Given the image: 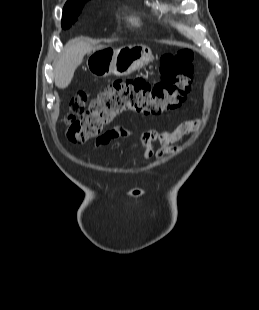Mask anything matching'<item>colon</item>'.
<instances>
[{
    "mask_svg": "<svg viewBox=\"0 0 259 310\" xmlns=\"http://www.w3.org/2000/svg\"><path fill=\"white\" fill-rule=\"evenodd\" d=\"M193 54L188 49L167 52L161 56L160 81L143 78L114 81L92 99L77 92L70 101L66 122L67 137L73 143H85L99 136L103 128L119 115L133 111L158 116L179 107L191 88Z\"/></svg>",
    "mask_w": 259,
    "mask_h": 310,
    "instance_id": "5ec220e1",
    "label": "colon"
}]
</instances>
